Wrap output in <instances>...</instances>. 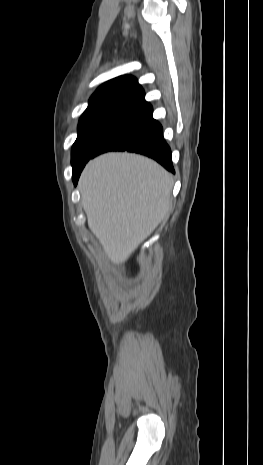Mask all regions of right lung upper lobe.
Returning a JSON list of instances; mask_svg holds the SVG:
<instances>
[{
	"label": "right lung upper lobe",
	"mask_w": 263,
	"mask_h": 465,
	"mask_svg": "<svg viewBox=\"0 0 263 465\" xmlns=\"http://www.w3.org/2000/svg\"><path fill=\"white\" fill-rule=\"evenodd\" d=\"M144 96L143 88L133 76H120L101 85L91 96L89 104L108 100L139 102Z\"/></svg>",
	"instance_id": "right-lung-upper-lobe-1"
}]
</instances>
